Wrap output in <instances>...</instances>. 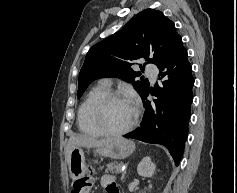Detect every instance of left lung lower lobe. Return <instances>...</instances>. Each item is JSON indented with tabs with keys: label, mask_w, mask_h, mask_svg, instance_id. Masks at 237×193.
Instances as JSON below:
<instances>
[{
	"label": "left lung lower lobe",
	"mask_w": 237,
	"mask_h": 193,
	"mask_svg": "<svg viewBox=\"0 0 237 193\" xmlns=\"http://www.w3.org/2000/svg\"><path fill=\"white\" fill-rule=\"evenodd\" d=\"M157 67L159 79L163 81L160 85L156 84L154 90L148 88L143 94L141 98L146 112L141 127L124 137L166 146L178 166L188 135L194 84L191 64L181 38ZM149 93L157 99L153 102L147 100Z\"/></svg>",
	"instance_id": "1"
}]
</instances>
